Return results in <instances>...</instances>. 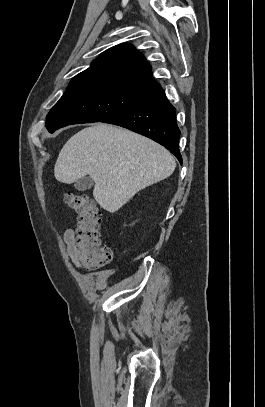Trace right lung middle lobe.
Masks as SVG:
<instances>
[{
  "mask_svg": "<svg viewBox=\"0 0 265 407\" xmlns=\"http://www.w3.org/2000/svg\"><path fill=\"white\" fill-rule=\"evenodd\" d=\"M156 87L101 75L75 76L47 115L50 133L71 124L103 122L149 97Z\"/></svg>",
  "mask_w": 265,
  "mask_h": 407,
  "instance_id": "1",
  "label": "right lung middle lobe"
}]
</instances>
